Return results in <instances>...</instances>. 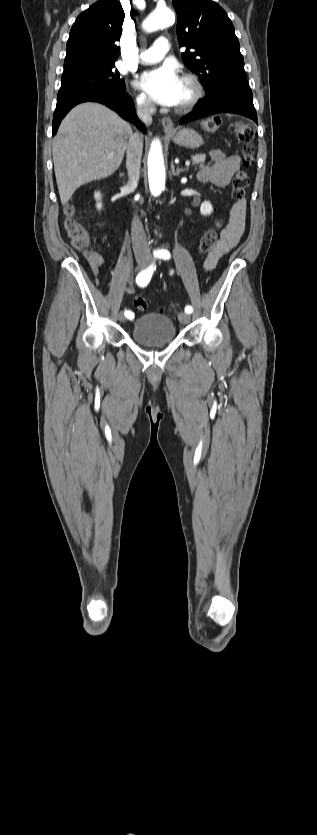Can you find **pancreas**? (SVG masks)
Here are the masks:
<instances>
[{"instance_id": "cf45deb5", "label": "pancreas", "mask_w": 317, "mask_h": 835, "mask_svg": "<svg viewBox=\"0 0 317 835\" xmlns=\"http://www.w3.org/2000/svg\"><path fill=\"white\" fill-rule=\"evenodd\" d=\"M192 159L195 164L202 165L206 160V156L204 154H195Z\"/></svg>"}]
</instances>
